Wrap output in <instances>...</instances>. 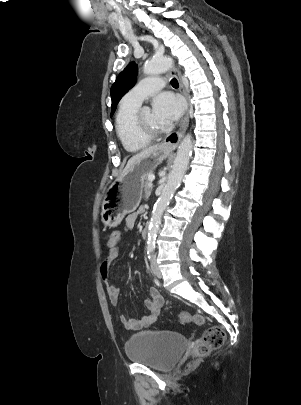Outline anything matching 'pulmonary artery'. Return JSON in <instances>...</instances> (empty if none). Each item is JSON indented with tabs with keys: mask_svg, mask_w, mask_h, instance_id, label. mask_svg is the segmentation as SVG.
<instances>
[{
	"mask_svg": "<svg viewBox=\"0 0 301 405\" xmlns=\"http://www.w3.org/2000/svg\"><path fill=\"white\" fill-rule=\"evenodd\" d=\"M161 77L150 76L141 80L124 97L122 102L128 105L140 106L142 101L164 87Z\"/></svg>",
	"mask_w": 301,
	"mask_h": 405,
	"instance_id": "obj_1",
	"label": "pulmonary artery"
}]
</instances>
